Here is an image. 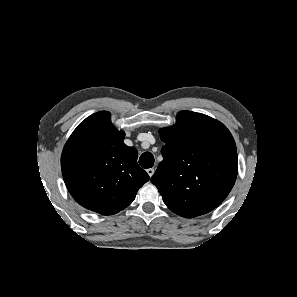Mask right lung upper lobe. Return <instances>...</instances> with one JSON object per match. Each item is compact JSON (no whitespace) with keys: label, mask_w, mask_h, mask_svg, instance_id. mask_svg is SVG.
Wrapping results in <instances>:
<instances>
[{"label":"right lung upper lobe","mask_w":297,"mask_h":297,"mask_svg":"<svg viewBox=\"0 0 297 297\" xmlns=\"http://www.w3.org/2000/svg\"><path fill=\"white\" fill-rule=\"evenodd\" d=\"M124 136L112 125L110 113L100 111L81 122L65 144L63 179L86 209L103 215L118 213L149 180L137 163V150L124 144Z\"/></svg>","instance_id":"right-lung-upper-lobe-1"}]
</instances>
